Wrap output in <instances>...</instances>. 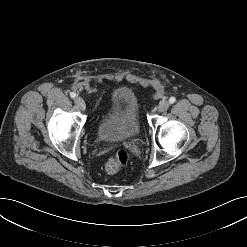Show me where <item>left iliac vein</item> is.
I'll list each match as a JSON object with an SVG mask.
<instances>
[{"mask_svg": "<svg viewBox=\"0 0 247 247\" xmlns=\"http://www.w3.org/2000/svg\"><path fill=\"white\" fill-rule=\"evenodd\" d=\"M169 105H170L169 102L166 100L160 102L158 107H157L158 112L166 111L169 108Z\"/></svg>", "mask_w": 247, "mask_h": 247, "instance_id": "4c4485c4", "label": "left iliac vein"}]
</instances>
